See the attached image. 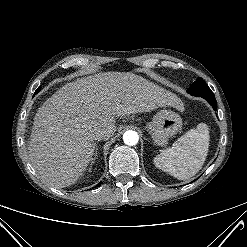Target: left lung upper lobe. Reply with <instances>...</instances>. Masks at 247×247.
<instances>
[{
  "label": "left lung upper lobe",
  "mask_w": 247,
  "mask_h": 247,
  "mask_svg": "<svg viewBox=\"0 0 247 247\" xmlns=\"http://www.w3.org/2000/svg\"><path fill=\"white\" fill-rule=\"evenodd\" d=\"M193 96L198 97H214L213 92L208 87V85L204 82L202 78H198L187 90Z\"/></svg>",
  "instance_id": "left-lung-upper-lobe-1"
}]
</instances>
